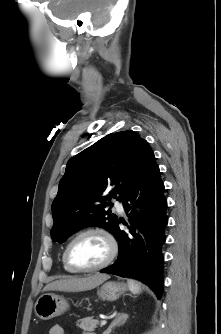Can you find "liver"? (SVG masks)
Wrapping results in <instances>:
<instances>
[{"instance_id": "1", "label": "liver", "mask_w": 221, "mask_h": 334, "mask_svg": "<svg viewBox=\"0 0 221 334\" xmlns=\"http://www.w3.org/2000/svg\"><path fill=\"white\" fill-rule=\"evenodd\" d=\"M109 279V275L96 273L85 277H73L69 279L57 280L47 284L43 291H85L91 290Z\"/></svg>"}]
</instances>
